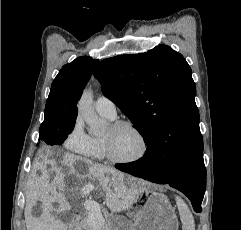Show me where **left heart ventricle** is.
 <instances>
[{
  "label": "left heart ventricle",
  "instance_id": "1",
  "mask_svg": "<svg viewBox=\"0 0 241 230\" xmlns=\"http://www.w3.org/2000/svg\"><path fill=\"white\" fill-rule=\"evenodd\" d=\"M104 137L108 138L112 151L117 158L130 159L136 157L142 149V143L137 134L128 127L106 131Z\"/></svg>",
  "mask_w": 241,
  "mask_h": 230
}]
</instances>
